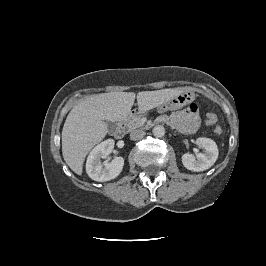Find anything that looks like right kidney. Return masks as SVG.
Here are the masks:
<instances>
[{
  "instance_id": "1",
  "label": "right kidney",
  "mask_w": 266,
  "mask_h": 266,
  "mask_svg": "<svg viewBox=\"0 0 266 266\" xmlns=\"http://www.w3.org/2000/svg\"><path fill=\"white\" fill-rule=\"evenodd\" d=\"M114 147V140L108 139L98 144L89 154L86 162V172L94 181L104 182L116 178L122 171L124 159L115 157L111 162H101Z\"/></svg>"
}]
</instances>
